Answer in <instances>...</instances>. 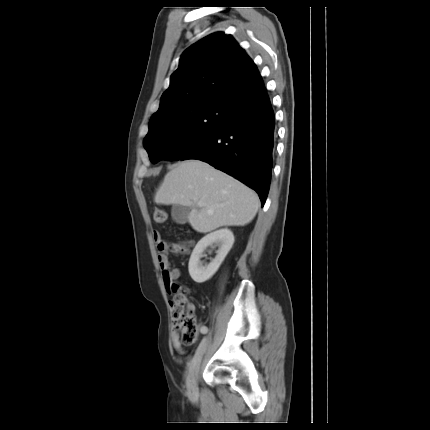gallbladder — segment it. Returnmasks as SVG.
Listing matches in <instances>:
<instances>
[{"label":"gallbladder","instance_id":"gallbladder-1","mask_svg":"<svg viewBox=\"0 0 430 430\" xmlns=\"http://www.w3.org/2000/svg\"><path fill=\"white\" fill-rule=\"evenodd\" d=\"M173 220L178 224H185L188 220L189 210L182 205H174L171 210Z\"/></svg>","mask_w":430,"mask_h":430}]
</instances>
